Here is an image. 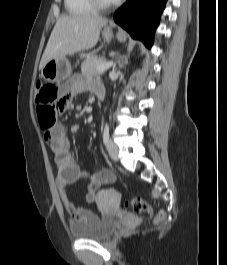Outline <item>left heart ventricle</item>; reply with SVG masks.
I'll return each instance as SVG.
<instances>
[{
	"mask_svg": "<svg viewBox=\"0 0 227 265\" xmlns=\"http://www.w3.org/2000/svg\"><path fill=\"white\" fill-rule=\"evenodd\" d=\"M102 1L105 2V3L112 2L111 0H102Z\"/></svg>",
	"mask_w": 227,
	"mask_h": 265,
	"instance_id": "b2bd125f",
	"label": "left heart ventricle"
}]
</instances>
